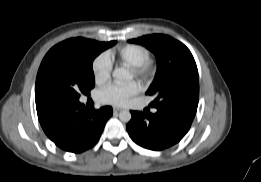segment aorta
Here are the masks:
<instances>
[{"label": "aorta", "instance_id": "1", "mask_svg": "<svg viewBox=\"0 0 261 182\" xmlns=\"http://www.w3.org/2000/svg\"><path fill=\"white\" fill-rule=\"evenodd\" d=\"M112 77L114 82L120 85L131 79V73L125 68H116L112 73ZM119 119L122 122H129L131 120V113L128 110H123L119 113Z\"/></svg>", "mask_w": 261, "mask_h": 182}]
</instances>
